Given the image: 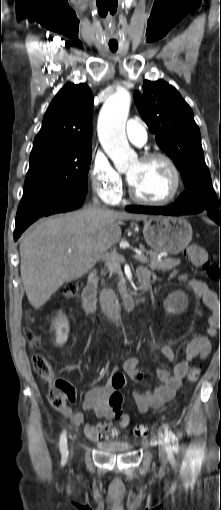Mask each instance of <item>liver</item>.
Here are the masks:
<instances>
[{"instance_id":"6515ba94","label":"liver","mask_w":221,"mask_h":510,"mask_svg":"<svg viewBox=\"0 0 221 510\" xmlns=\"http://www.w3.org/2000/svg\"><path fill=\"white\" fill-rule=\"evenodd\" d=\"M147 217L92 206L34 224L21 236L19 247L21 278L30 304L42 307L64 283L92 269L120 240L118 220Z\"/></svg>"}]
</instances>
